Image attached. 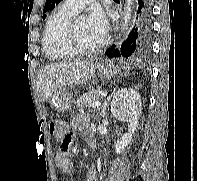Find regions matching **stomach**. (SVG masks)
<instances>
[{
  "label": "stomach",
  "mask_w": 197,
  "mask_h": 181,
  "mask_svg": "<svg viewBox=\"0 0 197 181\" xmlns=\"http://www.w3.org/2000/svg\"><path fill=\"white\" fill-rule=\"evenodd\" d=\"M96 75L102 80L111 79L120 72V67L111 61L98 63ZM52 108L59 112L69 110L73 103V95L65 88L56 90L49 99Z\"/></svg>",
  "instance_id": "0dacf381"
}]
</instances>
